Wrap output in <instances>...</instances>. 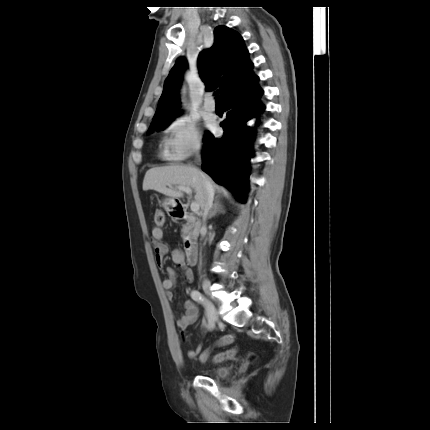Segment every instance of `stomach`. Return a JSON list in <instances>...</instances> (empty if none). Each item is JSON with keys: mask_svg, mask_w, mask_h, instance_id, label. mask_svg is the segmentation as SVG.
Segmentation results:
<instances>
[{"mask_svg": "<svg viewBox=\"0 0 430 430\" xmlns=\"http://www.w3.org/2000/svg\"><path fill=\"white\" fill-rule=\"evenodd\" d=\"M163 207L165 208V210L171 211V209L173 207V200L172 199H166L163 203Z\"/></svg>", "mask_w": 430, "mask_h": 430, "instance_id": "obj_1", "label": "stomach"}]
</instances>
